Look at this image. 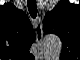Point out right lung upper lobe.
I'll use <instances>...</instances> for the list:
<instances>
[{
	"label": "right lung upper lobe",
	"instance_id": "obj_1",
	"mask_svg": "<svg viewBox=\"0 0 80 60\" xmlns=\"http://www.w3.org/2000/svg\"><path fill=\"white\" fill-rule=\"evenodd\" d=\"M0 27V44L4 50L12 54L29 55L35 34L23 11L10 3L2 5Z\"/></svg>",
	"mask_w": 80,
	"mask_h": 60
}]
</instances>
